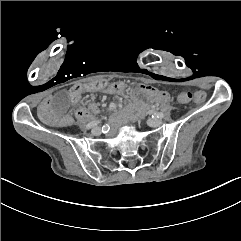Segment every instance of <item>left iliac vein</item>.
I'll use <instances>...</instances> for the list:
<instances>
[{"label":"left iliac vein","mask_w":241,"mask_h":241,"mask_svg":"<svg viewBox=\"0 0 241 241\" xmlns=\"http://www.w3.org/2000/svg\"><path fill=\"white\" fill-rule=\"evenodd\" d=\"M161 123H162V121L160 119H157V118L148 120V125L151 126V127H157Z\"/></svg>","instance_id":"1"}]
</instances>
